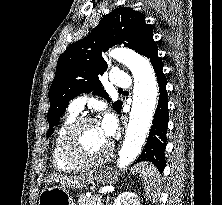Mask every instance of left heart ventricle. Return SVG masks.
<instances>
[{"mask_svg": "<svg viewBox=\"0 0 222 205\" xmlns=\"http://www.w3.org/2000/svg\"><path fill=\"white\" fill-rule=\"evenodd\" d=\"M108 143L109 139L103 134L98 123L84 125L74 138V148L85 158L101 155Z\"/></svg>", "mask_w": 222, "mask_h": 205, "instance_id": "left-heart-ventricle-1", "label": "left heart ventricle"}]
</instances>
